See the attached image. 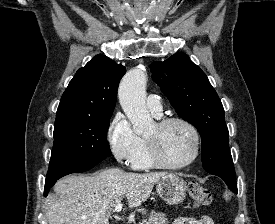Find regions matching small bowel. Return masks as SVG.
Listing matches in <instances>:
<instances>
[{
  "label": "small bowel",
  "mask_w": 275,
  "mask_h": 224,
  "mask_svg": "<svg viewBox=\"0 0 275 224\" xmlns=\"http://www.w3.org/2000/svg\"><path fill=\"white\" fill-rule=\"evenodd\" d=\"M172 224H214L210 216L203 215L200 217L186 216L176 218Z\"/></svg>",
  "instance_id": "c3829d8e"
}]
</instances>
